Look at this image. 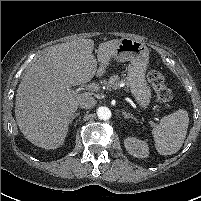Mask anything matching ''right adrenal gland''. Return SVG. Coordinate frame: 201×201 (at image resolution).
Segmentation results:
<instances>
[{
	"mask_svg": "<svg viewBox=\"0 0 201 201\" xmlns=\"http://www.w3.org/2000/svg\"><path fill=\"white\" fill-rule=\"evenodd\" d=\"M79 115H80V112L75 113V114L72 116V118H71V120H70V123H72L73 120H74L77 116H79Z\"/></svg>",
	"mask_w": 201,
	"mask_h": 201,
	"instance_id": "2a0ac1e0",
	"label": "right adrenal gland"
}]
</instances>
